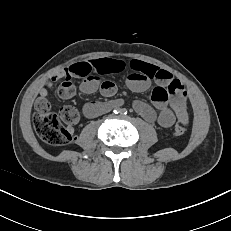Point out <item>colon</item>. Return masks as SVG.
Segmentation results:
<instances>
[{
	"label": "colon",
	"mask_w": 231,
	"mask_h": 231,
	"mask_svg": "<svg viewBox=\"0 0 231 231\" xmlns=\"http://www.w3.org/2000/svg\"><path fill=\"white\" fill-rule=\"evenodd\" d=\"M76 73L72 71L58 89V94L63 98L73 95L75 87L71 76ZM79 119L78 111L72 106H64L58 113L51 110L48 101L43 102L33 116V126L37 135L52 146H66L72 140L70 126L76 124ZM187 123L178 121L174 127L175 135H182L186 131Z\"/></svg>",
	"instance_id": "colon-1"
}]
</instances>
